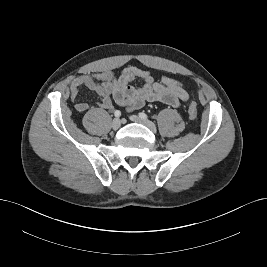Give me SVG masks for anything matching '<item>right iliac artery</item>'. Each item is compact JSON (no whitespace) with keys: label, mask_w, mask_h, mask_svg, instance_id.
<instances>
[{"label":"right iliac artery","mask_w":267,"mask_h":267,"mask_svg":"<svg viewBox=\"0 0 267 267\" xmlns=\"http://www.w3.org/2000/svg\"><path fill=\"white\" fill-rule=\"evenodd\" d=\"M115 117L119 118L121 116V112L119 110H116L114 112Z\"/></svg>","instance_id":"1"}]
</instances>
